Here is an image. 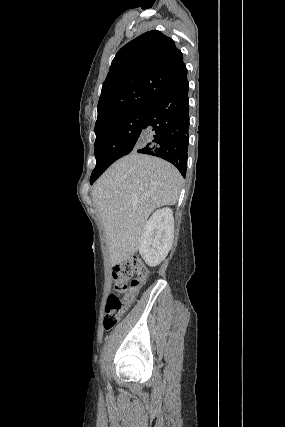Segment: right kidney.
<instances>
[{
	"label": "right kidney",
	"mask_w": 285,
	"mask_h": 427,
	"mask_svg": "<svg viewBox=\"0 0 285 427\" xmlns=\"http://www.w3.org/2000/svg\"><path fill=\"white\" fill-rule=\"evenodd\" d=\"M174 238V218L170 208L153 213L146 222L139 243V253L151 267L162 262L168 254Z\"/></svg>",
	"instance_id": "obj_1"
}]
</instances>
